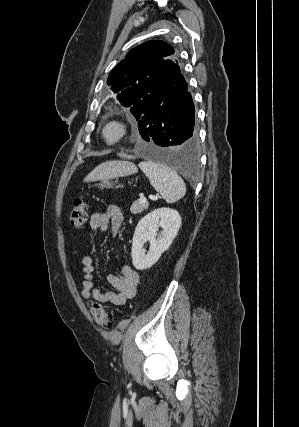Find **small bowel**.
Here are the masks:
<instances>
[{
  "label": "small bowel",
  "mask_w": 299,
  "mask_h": 427,
  "mask_svg": "<svg viewBox=\"0 0 299 427\" xmlns=\"http://www.w3.org/2000/svg\"><path fill=\"white\" fill-rule=\"evenodd\" d=\"M123 221L122 210L116 205H109L105 211L93 213L90 216L89 224L92 228H98L102 231L110 228L112 235H117ZM79 264L83 272L81 296L84 300L93 299L99 303L119 306L135 296L139 283V274L132 267L125 265L121 269V275H108L107 280L115 289V291H109L94 286V267L90 256H82Z\"/></svg>",
  "instance_id": "small-bowel-1"
}]
</instances>
